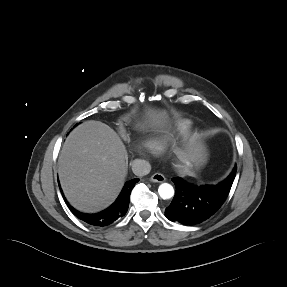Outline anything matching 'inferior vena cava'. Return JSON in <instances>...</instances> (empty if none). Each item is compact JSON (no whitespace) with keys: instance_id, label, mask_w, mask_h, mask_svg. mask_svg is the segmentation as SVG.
Returning a JSON list of instances; mask_svg holds the SVG:
<instances>
[{"instance_id":"1","label":"inferior vena cava","mask_w":287,"mask_h":287,"mask_svg":"<svg viewBox=\"0 0 287 287\" xmlns=\"http://www.w3.org/2000/svg\"><path fill=\"white\" fill-rule=\"evenodd\" d=\"M132 171L137 176H145L151 171V165L148 161L142 159L133 160Z\"/></svg>"}]
</instances>
